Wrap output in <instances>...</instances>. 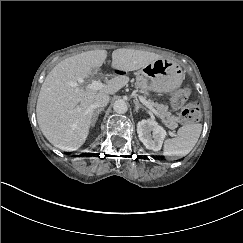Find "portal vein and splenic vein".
Masks as SVG:
<instances>
[{
    "label": "portal vein and splenic vein",
    "mask_w": 243,
    "mask_h": 243,
    "mask_svg": "<svg viewBox=\"0 0 243 243\" xmlns=\"http://www.w3.org/2000/svg\"><path fill=\"white\" fill-rule=\"evenodd\" d=\"M104 87H105V84H103L102 82L93 81L92 83H90L86 86V89L98 91ZM139 100L142 104H144L146 107H148L155 115L159 114L158 111L155 108H153V106L143 96H139Z\"/></svg>",
    "instance_id": "1"
}]
</instances>
